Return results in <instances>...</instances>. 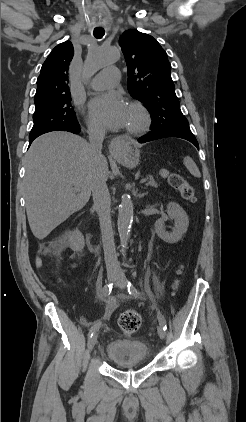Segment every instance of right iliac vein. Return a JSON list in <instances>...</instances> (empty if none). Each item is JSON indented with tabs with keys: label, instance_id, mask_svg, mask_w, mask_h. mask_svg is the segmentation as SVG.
<instances>
[{
	"label": "right iliac vein",
	"instance_id": "obj_1",
	"mask_svg": "<svg viewBox=\"0 0 246 422\" xmlns=\"http://www.w3.org/2000/svg\"><path fill=\"white\" fill-rule=\"evenodd\" d=\"M107 277H108V280L112 282V281L116 280L117 274L114 273V272H109ZM96 343H97V335L94 334L88 340V349L91 351L95 347Z\"/></svg>",
	"mask_w": 246,
	"mask_h": 422
}]
</instances>
